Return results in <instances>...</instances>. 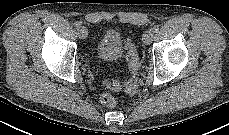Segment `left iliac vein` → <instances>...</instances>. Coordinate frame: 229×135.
I'll use <instances>...</instances> for the list:
<instances>
[{"label": "left iliac vein", "instance_id": "left-iliac-vein-1", "mask_svg": "<svg viewBox=\"0 0 229 135\" xmlns=\"http://www.w3.org/2000/svg\"><path fill=\"white\" fill-rule=\"evenodd\" d=\"M153 32L151 30H147L144 34H143V42L145 44H150L153 40Z\"/></svg>", "mask_w": 229, "mask_h": 135}]
</instances>
